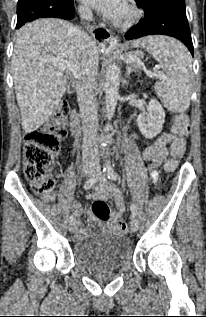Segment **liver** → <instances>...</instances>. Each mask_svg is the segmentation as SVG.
<instances>
[{
  "instance_id": "liver-1",
  "label": "liver",
  "mask_w": 206,
  "mask_h": 317,
  "mask_svg": "<svg viewBox=\"0 0 206 317\" xmlns=\"http://www.w3.org/2000/svg\"><path fill=\"white\" fill-rule=\"evenodd\" d=\"M78 32L76 27L59 19H39L17 32L12 76L26 133L38 129L54 114L67 89L64 70L47 60H67L80 69Z\"/></svg>"
}]
</instances>
